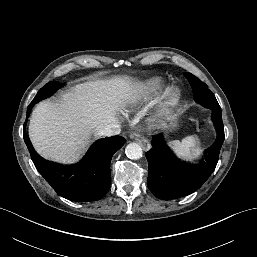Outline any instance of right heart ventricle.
<instances>
[{"instance_id": "e07e8e85", "label": "right heart ventricle", "mask_w": 257, "mask_h": 257, "mask_svg": "<svg viewBox=\"0 0 257 257\" xmlns=\"http://www.w3.org/2000/svg\"><path fill=\"white\" fill-rule=\"evenodd\" d=\"M164 85L157 80H152L144 87L135 97H133L131 103L136 105L143 100H146L152 96L157 95L163 89Z\"/></svg>"}]
</instances>
